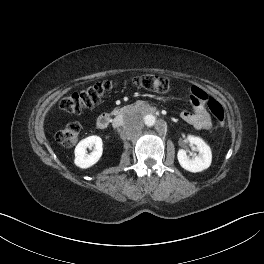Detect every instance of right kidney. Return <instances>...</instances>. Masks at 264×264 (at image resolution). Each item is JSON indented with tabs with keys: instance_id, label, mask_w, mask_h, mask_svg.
I'll use <instances>...</instances> for the list:
<instances>
[{
	"instance_id": "obj_1",
	"label": "right kidney",
	"mask_w": 264,
	"mask_h": 264,
	"mask_svg": "<svg viewBox=\"0 0 264 264\" xmlns=\"http://www.w3.org/2000/svg\"><path fill=\"white\" fill-rule=\"evenodd\" d=\"M87 148L93 151L87 154ZM74 163L77 167L86 169L96 164L103 153V142L99 136H89L82 139L75 148Z\"/></svg>"
}]
</instances>
